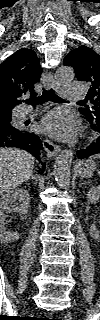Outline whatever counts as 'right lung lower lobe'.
Returning a JSON list of instances; mask_svg holds the SVG:
<instances>
[{
    "instance_id": "98d812e1",
    "label": "right lung lower lobe",
    "mask_w": 100,
    "mask_h": 320,
    "mask_svg": "<svg viewBox=\"0 0 100 320\" xmlns=\"http://www.w3.org/2000/svg\"><path fill=\"white\" fill-rule=\"evenodd\" d=\"M0 147H16L30 152L40 163V151L42 142L34 133L25 128L9 129L4 128L0 131ZM44 168V163H42Z\"/></svg>"
}]
</instances>
